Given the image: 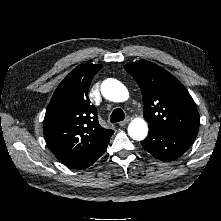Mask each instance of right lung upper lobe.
Here are the masks:
<instances>
[{"mask_svg": "<svg viewBox=\"0 0 221 221\" xmlns=\"http://www.w3.org/2000/svg\"><path fill=\"white\" fill-rule=\"evenodd\" d=\"M99 64H84L73 69L59 84L47 107L43 131L53 154L73 167L105 148L113 130L103 128L88 89Z\"/></svg>", "mask_w": 221, "mask_h": 221, "instance_id": "obj_1", "label": "right lung upper lobe"}]
</instances>
